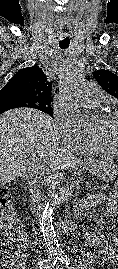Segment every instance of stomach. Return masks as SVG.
Masks as SVG:
<instances>
[{
    "label": "stomach",
    "mask_w": 118,
    "mask_h": 269,
    "mask_svg": "<svg viewBox=\"0 0 118 269\" xmlns=\"http://www.w3.org/2000/svg\"><path fill=\"white\" fill-rule=\"evenodd\" d=\"M85 169L96 176L99 180L109 182L118 175V166L110 160L97 162Z\"/></svg>",
    "instance_id": "stomach-1"
}]
</instances>
